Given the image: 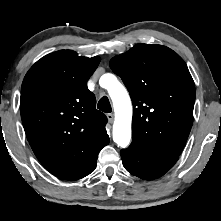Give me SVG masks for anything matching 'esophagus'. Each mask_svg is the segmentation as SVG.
Segmentation results:
<instances>
[{
	"label": "esophagus",
	"mask_w": 221,
	"mask_h": 221,
	"mask_svg": "<svg viewBox=\"0 0 221 221\" xmlns=\"http://www.w3.org/2000/svg\"><path fill=\"white\" fill-rule=\"evenodd\" d=\"M107 119H108V121H109L110 123H112L113 120H114V115H113L112 113H108V114H107Z\"/></svg>",
	"instance_id": "esophagus-1"
}]
</instances>
